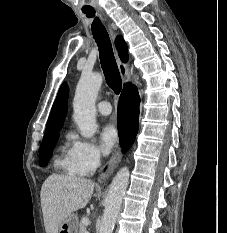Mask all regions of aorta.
I'll use <instances>...</instances> for the list:
<instances>
[{"label":"aorta","mask_w":227,"mask_h":233,"mask_svg":"<svg viewBox=\"0 0 227 233\" xmlns=\"http://www.w3.org/2000/svg\"><path fill=\"white\" fill-rule=\"evenodd\" d=\"M102 85L100 73L83 74L76 87L73 101L74 121L85 138H91L96 130L95 101ZM129 169L121 168L113 178L105 200V210L99 233H112L119 214L122 200L129 182Z\"/></svg>","instance_id":"obj_1"}]
</instances>
